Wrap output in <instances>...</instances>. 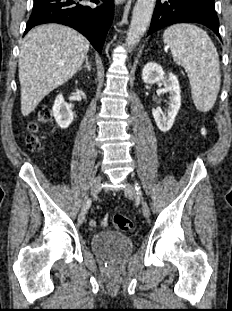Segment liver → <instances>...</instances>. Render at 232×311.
Instances as JSON below:
<instances>
[{
  "instance_id": "1",
  "label": "liver",
  "mask_w": 232,
  "mask_h": 311,
  "mask_svg": "<svg viewBox=\"0 0 232 311\" xmlns=\"http://www.w3.org/2000/svg\"><path fill=\"white\" fill-rule=\"evenodd\" d=\"M89 46L83 35L66 26L47 24L29 31L22 41L18 63L23 116L75 75Z\"/></svg>"
}]
</instances>
